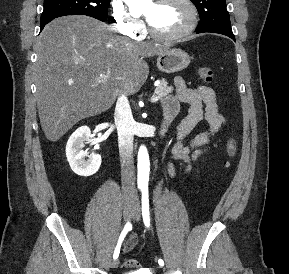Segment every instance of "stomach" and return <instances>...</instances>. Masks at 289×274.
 <instances>
[{
    "instance_id": "stomach-1",
    "label": "stomach",
    "mask_w": 289,
    "mask_h": 274,
    "mask_svg": "<svg viewBox=\"0 0 289 274\" xmlns=\"http://www.w3.org/2000/svg\"><path fill=\"white\" fill-rule=\"evenodd\" d=\"M190 64L189 55L181 49H167L158 54L157 67L164 73H175Z\"/></svg>"
}]
</instances>
